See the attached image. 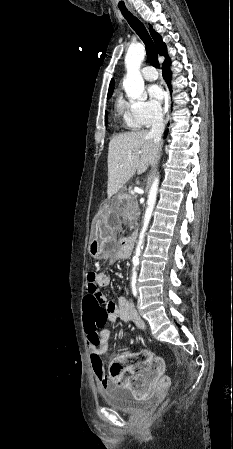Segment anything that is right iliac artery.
<instances>
[{"mask_svg": "<svg viewBox=\"0 0 233 449\" xmlns=\"http://www.w3.org/2000/svg\"><path fill=\"white\" fill-rule=\"evenodd\" d=\"M132 293L135 297H137V288L136 286H132Z\"/></svg>", "mask_w": 233, "mask_h": 449, "instance_id": "obj_1", "label": "right iliac artery"}]
</instances>
